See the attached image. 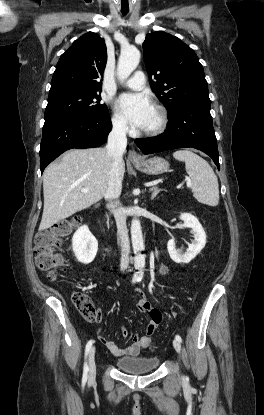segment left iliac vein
I'll use <instances>...</instances> for the list:
<instances>
[{
  "instance_id": "4c4485c4",
  "label": "left iliac vein",
  "mask_w": 264,
  "mask_h": 415,
  "mask_svg": "<svg viewBox=\"0 0 264 415\" xmlns=\"http://www.w3.org/2000/svg\"><path fill=\"white\" fill-rule=\"evenodd\" d=\"M173 346L178 353L181 352V344L177 339L173 340Z\"/></svg>"
}]
</instances>
